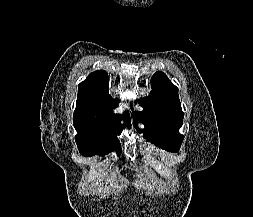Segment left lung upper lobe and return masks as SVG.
<instances>
[{
    "label": "left lung upper lobe",
    "mask_w": 253,
    "mask_h": 217,
    "mask_svg": "<svg viewBox=\"0 0 253 217\" xmlns=\"http://www.w3.org/2000/svg\"><path fill=\"white\" fill-rule=\"evenodd\" d=\"M152 91L139 101L143 106L142 112L134 114L135 121L142 122L146 129L144 137L169 152H178L184 136L179 133L183 124L184 113L178 96V88L171 83L167 76L156 72L151 78Z\"/></svg>",
    "instance_id": "5c2ea615"
}]
</instances>
